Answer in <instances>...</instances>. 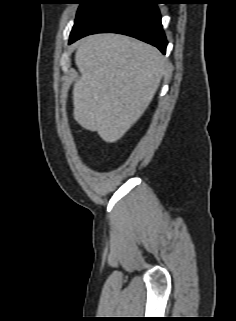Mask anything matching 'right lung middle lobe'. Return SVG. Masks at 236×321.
Listing matches in <instances>:
<instances>
[{
  "label": "right lung middle lobe",
  "instance_id": "1",
  "mask_svg": "<svg viewBox=\"0 0 236 321\" xmlns=\"http://www.w3.org/2000/svg\"><path fill=\"white\" fill-rule=\"evenodd\" d=\"M109 0H78L80 7L77 12L70 38L73 37L103 5Z\"/></svg>",
  "mask_w": 236,
  "mask_h": 321
}]
</instances>
